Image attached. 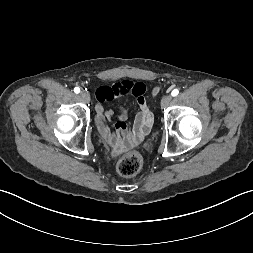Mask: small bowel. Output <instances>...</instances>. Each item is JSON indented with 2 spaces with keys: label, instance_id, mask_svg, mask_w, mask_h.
<instances>
[{
  "label": "small bowel",
  "instance_id": "c3829d8e",
  "mask_svg": "<svg viewBox=\"0 0 253 253\" xmlns=\"http://www.w3.org/2000/svg\"><path fill=\"white\" fill-rule=\"evenodd\" d=\"M145 91L144 84L134 83L130 80L115 83L112 87L103 86L96 91V98L99 102L95 107L98 130L111 146L114 155L134 147L149 133L152 127L153 116L145 99ZM128 93L135 97L138 104V113L134 122L132 126L127 124V111L122 109L114 127L111 128L109 122L114 117V113L104 110L100 103L115 100Z\"/></svg>",
  "mask_w": 253,
  "mask_h": 253
}]
</instances>
